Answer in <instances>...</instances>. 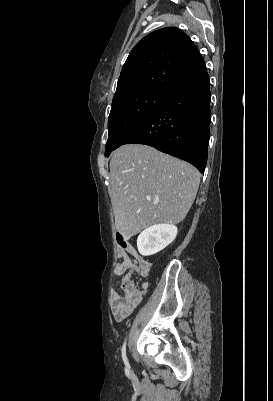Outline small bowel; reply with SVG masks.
Instances as JSON below:
<instances>
[{"instance_id": "obj_1", "label": "small bowel", "mask_w": 273, "mask_h": 401, "mask_svg": "<svg viewBox=\"0 0 273 401\" xmlns=\"http://www.w3.org/2000/svg\"><path fill=\"white\" fill-rule=\"evenodd\" d=\"M120 245H126L127 251H130V260H120L115 268V274L119 271H125L121 269L122 261H135L139 258L141 261L144 260L139 256L133 246L127 242H121ZM129 278H133V274ZM145 283V289L148 288V283ZM112 300V315L117 322H122L128 318L139 304H144L145 297L142 290H138L137 284H124L123 290L112 289L111 291ZM127 302V303H126Z\"/></svg>"}]
</instances>
